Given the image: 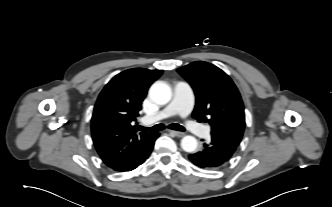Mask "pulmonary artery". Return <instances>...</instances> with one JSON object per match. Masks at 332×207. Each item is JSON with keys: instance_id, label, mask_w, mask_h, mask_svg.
Here are the masks:
<instances>
[{"instance_id": "e3ab8cb5", "label": "pulmonary artery", "mask_w": 332, "mask_h": 207, "mask_svg": "<svg viewBox=\"0 0 332 207\" xmlns=\"http://www.w3.org/2000/svg\"><path fill=\"white\" fill-rule=\"evenodd\" d=\"M193 106L194 94L191 87L186 82L178 81L174 84V95L170 104L155 114L145 116L143 122L152 124L174 115H180L185 118L190 114ZM186 127L191 133L200 137H207L210 133L208 126L199 124L196 121H186Z\"/></svg>"}]
</instances>
